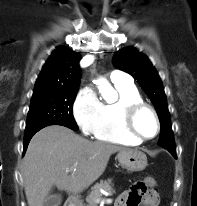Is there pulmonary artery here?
Here are the masks:
<instances>
[{"label":"pulmonary artery","mask_w":197,"mask_h":206,"mask_svg":"<svg viewBox=\"0 0 197 206\" xmlns=\"http://www.w3.org/2000/svg\"><path fill=\"white\" fill-rule=\"evenodd\" d=\"M110 79L113 83H123V84L132 83L131 77L119 70L112 71L110 75Z\"/></svg>","instance_id":"pulmonary-artery-1"}]
</instances>
